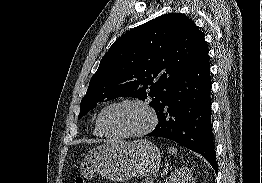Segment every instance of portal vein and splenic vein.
<instances>
[{
	"mask_svg": "<svg viewBox=\"0 0 262 183\" xmlns=\"http://www.w3.org/2000/svg\"><path fill=\"white\" fill-rule=\"evenodd\" d=\"M150 181H151V183H153V179H151Z\"/></svg>",
	"mask_w": 262,
	"mask_h": 183,
	"instance_id": "1",
	"label": "portal vein and splenic vein"
}]
</instances>
